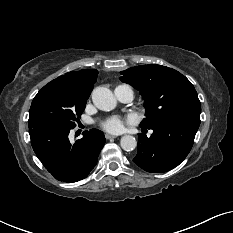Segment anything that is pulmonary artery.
Wrapping results in <instances>:
<instances>
[{
  "instance_id": "1",
  "label": "pulmonary artery",
  "mask_w": 233,
  "mask_h": 233,
  "mask_svg": "<svg viewBox=\"0 0 233 233\" xmlns=\"http://www.w3.org/2000/svg\"><path fill=\"white\" fill-rule=\"evenodd\" d=\"M116 98L124 103L130 102L133 99L134 93L130 86L120 85L114 90Z\"/></svg>"
}]
</instances>
